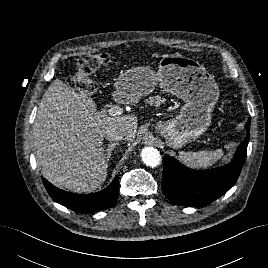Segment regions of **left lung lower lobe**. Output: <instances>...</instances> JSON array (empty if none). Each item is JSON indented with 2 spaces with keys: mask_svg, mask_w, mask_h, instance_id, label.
I'll return each mask as SVG.
<instances>
[{
  "mask_svg": "<svg viewBox=\"0 0 268 268\" xmlns=\"http://www.w3.org/2000/svg\"><path fill=\"white\" fill-rule=\"evenodd\" d=\"M247 136L236 150L232 163L209 170H193L176 159L163 158L162 192L172 202L184 206L207 205L226 193L238 179L246 159L249 142L250 118Z\"/></svg>",
  "mask_w": 268,
  "mask_h": 268,
  "instance_id": "left-lung-lower-lobe-1",
  "label": "left lung lower lobe"
}]
</instances>
